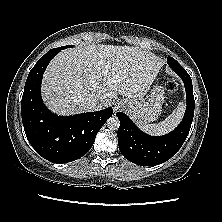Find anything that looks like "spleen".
<instances>
[{"label": "spleen", "mask_w": 222, "mask_h": 222, "mask_svg": "<svg viewBox=\"0 0 222 222\" xmlns=\"http://www.w3.org/2000/svg\"><path fill=\"white\" fill-rule=\"evenodd\" d=\"M185 111V104L180 102L177 108L162 122L142 124L141 130L150 135H164L173 130L181 121Z\"/></svg>", "instance_id": "1"}]
</instances>
